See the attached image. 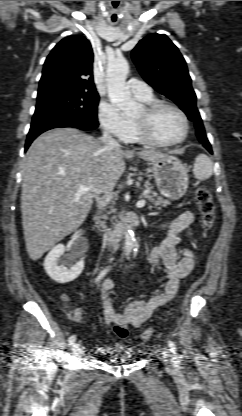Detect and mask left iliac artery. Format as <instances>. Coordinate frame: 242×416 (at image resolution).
<instances>
[{"label": "left iliac artery", "mask_w": 242, "mask_h": 416, "mask_svg": "<svg viewBox=\"0 0 242 416\" xmlns=\"http://www.w3.org/2000/svg\"><path fill=\"white\" fill-rule=\"evenodd\" d=\"M168 346H169V348H170V351H171V352L174 354V356H175V362H176V363L180 362L179 357L177 356V347H176L175 343L169 340V341H168Z\"/></svg>", "instance_id": "1"}]
</instances>
